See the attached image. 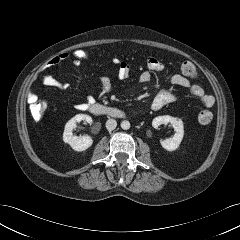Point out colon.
<instances>
[{
  "label": "colon",
  "mask_w": 240,
  "mask_h": 240,
  "mask_svg": "<svg viewBox=\"0 0 240 240\" xmlns=\"http://www.w3.org/2000/svg\"><path fill=\"white\" fill-rule=\"evenodd\" d=\"M67 59L76 67L80 66L85 60L90 58L89 52L84 48H77L66 53ZM180 70L185 76L194 78L197 74L195 66L184 61L180 65ZM29 109L32 117L35 120H40L43 118L46 111V103L44 101H32L29 102ZM213 115L211 111L203 109L198 114V122L201 125H208L212 122Z\"/></svg>",
  "instance_id": "colon-1"
}]
</instances>
